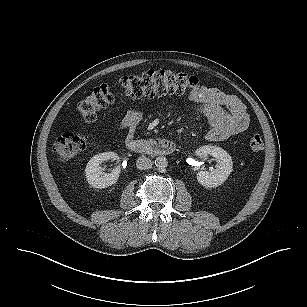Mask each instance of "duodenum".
<instances>
[{
	"mask_svg": "<svg viewBox=\"0 0 307 307\" xmlns=\"http://www.w3.org/2000/svg\"><path fill=\"white\" fill-rule=\"evenodd\" d=\"M125 145L128 150L151 156H168L172 154L175 149V143L166 138H154V139H132L128 138L125 141Z\"/></svg>",
	"mask_w": 307,
	"mask_h": 307,
	"instance_id": "410a0bca",
	"label": "duodenum"
}]
</instances>
